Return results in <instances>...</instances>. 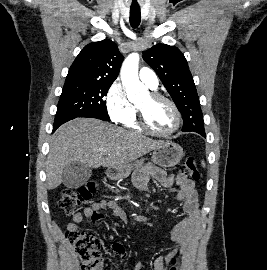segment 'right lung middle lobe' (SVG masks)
I'll return each instance as SVG.
<instances>
[{
  "label": "right lung middle lobe",
  "instance_id": "right-lung-middle-lobe-1",
  "mask_svg": "<svg viewBox=\"0 0 267 270\" xmlns=\"http://www.w3.org/2000/svg\"><path fill=\"white\" fill-rule=\"evenodd\" d=\"M112 83L65 82L57 107L56 121L77 117L110 120L104 97Z\"/></svg>",
  "mask_w": 267,
  "mask_h": 270
}]
</instances>
